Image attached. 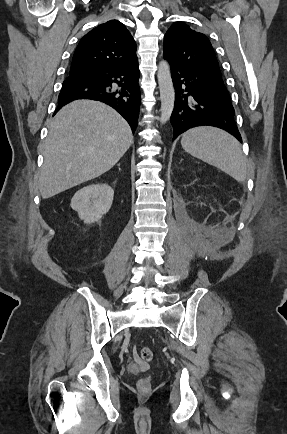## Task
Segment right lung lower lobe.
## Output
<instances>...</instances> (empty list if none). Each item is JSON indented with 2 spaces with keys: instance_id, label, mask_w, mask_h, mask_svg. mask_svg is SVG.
Wrapping results in <instances>:
<instances>
[{
  "instance_id": "right-lung-lower-lobe-1",
  "label": "right lung lower lobe",
  "mask_w": 287,
  "mask_h": 434,
  "mask_svg": "<svg viewBox=\"0 0 287 434\" xmlns=\"http://www.w3.org/2000/svg\"><path fill=\"white\" fill-rule=\"evenodd\" d=\"M139 75L137 62L126 67L104 68L68 77L63 82L55 113L76 99L98 100L118 111L134 132L140 108Z\"/></svg>"
}]
</instances>
